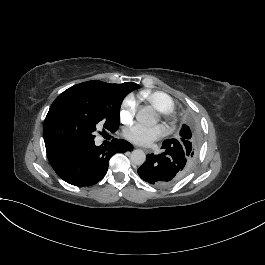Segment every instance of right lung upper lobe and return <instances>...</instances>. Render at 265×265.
<instances>
[{
	"label": "right lung upper lobe",
	"mask_w": 265,
	"mask_h": 265,
	"mask_svg": "<svg viewBox=\"0 0 265 265\" xmlns=\"http://www.w3.org/2000/svg\"><path fill=\"white\" fill-rule=\"evenodd\" d=\"M123 85H125L126 87H130L131 89L135 90L139 87V85L133 83V82H127V83H123ZM53 148H46V151H50Z\"/></svg>",
	"instance_id": "cb5924a9"
}]
</instances>
